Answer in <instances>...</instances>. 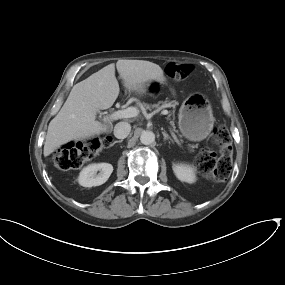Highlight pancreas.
Segmentation results:
<instances>
[{"label":"pancreas","instance_id":"pancreas-1","mask_svg":"<svg viewBox=\"0 0 285 285\" xmlns=\"http://www.w3.org/2000/svg\"><path fill=\"white\" fill-rule=\"evenodd\" d=\"M167 104L165 102H159L158 104H153V105H145L146 109H151V108H157V109H162L166 106ZM173 125V122H171Z\"/></svg>","mask_w":285,"mask_h":285}]
</instances>
